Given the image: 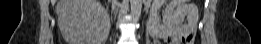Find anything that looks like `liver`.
Segmentation results:
<instances>
[{"label":"liver","mask_w":261,"mask_h":44,"mask_svg":"<svg viewBox=\"0 0 261 44\" xmlns=\"http://www.w3.org/2000/svg\"><path fill=\"white\" fill-rule=\"evenodd\" d=\"M57 1L58 24L64 38L72 44L101 42L95 31V24L105 10L96 0H54Z\"/></svg>","instance_id":"obj_1"}]
</instances>
